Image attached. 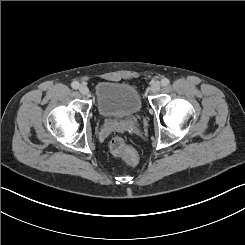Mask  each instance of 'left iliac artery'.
<instances>
[{
    "mask_svg": "<svg viewBox=\"0 0 245 245\" xmlns=\"http://www.w3.org/2000/svg\"><path fill=\"white\" fill-rule=\"evenodd\" d=\"M169 83H170V81H169V79H167V78H163V79L161 80V84H162L163 86H167V85H169Z\"/></svg>",
    "mask_w": 245,
    "mask_h": 245,
    "instance_id": "44dca946",
    "label": "left iliac artery"
}]
</instances>
